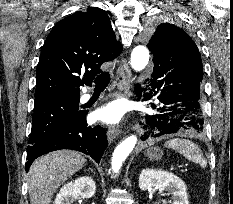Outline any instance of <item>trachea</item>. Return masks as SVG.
I'll use <instances>...</instances> for the list:
<instances>
[{
  "label": "trachea",
  "instance_id": "3493384b",
  "mask_svg": "<svg viewBox=\"0 0 233 204\" xmlns=\"http://www.w3.org/2000/svg\"><path fill=\"white\" fill-rule=\"evenodd\" d=\"M110 82V75L108 73L97 76L94 80L95 89H105Z\"/></svg>",
  "mask_w": 233,
  "mask_h": 204
}]
</instances>
